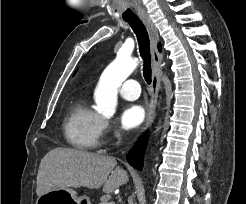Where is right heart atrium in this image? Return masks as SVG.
<instances>
[{
    "instance_id": "obj_1",
    "label": "right heart atrium",
    "mask_w": 246,
    "mask_h": 204,
    "mask_svg": "<svg viewBox=\"0 0 246 204\" xmlns=\"http://www.w3.org/2000/svg\"><path fill=\"white\" fill-rule=\"evenodd\" d=\"M110 128V124L107 121H104V129L108 130Z\"/></svg>"
}]
</instances>
